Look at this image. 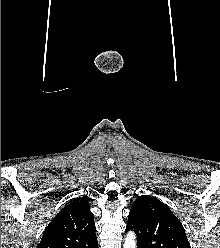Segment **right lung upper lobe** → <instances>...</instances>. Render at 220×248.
<instances>
[{
  "label": "right lung upper lobe",
  "instance_id": "cb5924a9",
  "mask_svg": "<svg viewBox=\"0 0 220 248\" xmlns=\"http://www.w3.org/2000/svg\"><path fill=\"white\" fill-rule=\"evenodd\" d=\"M89 208L85 198L71 201L46 227L38 248H91L97 238Z\"/></svg>",
  "mask_w": 220,
  "mask_h": 248
}]
</instances>
